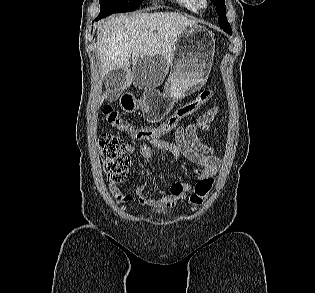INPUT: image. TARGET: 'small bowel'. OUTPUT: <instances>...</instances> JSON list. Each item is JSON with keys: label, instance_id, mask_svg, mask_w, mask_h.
<instances>
[{"label": "small bowel", "instance_id": "obj_1", "mask_svg": "<svg viewBox=\"0 0 315 293\" xmlns=\"http://www.w3.org/2000/svg\"><path fill=\"white\" fill-rule=\"evenodd\" d=\"M219 113L217 107L211 108L204 114L199 116L193 123L178 124L175 127V144L161 140L159 137L148 140L143 143L140 148V156L144 162L149 163L152 158V148H158L170 152L173 156L174 162H178L181 156H184L190 162L196 164L201 169L196 170L199 180L210 178L219 169L220 159L215 153L213 147L202 142L197 136V129L211 134V123ZM128 153L134 152V147L131 144L126 145ZM109 190L118 203H129L135 199L144 206H160L172 207L179 201L186 198L191 190V185L182 182L174 181L168 190H159V198H150L146 195V183H141L134 188L136 198L132 195L125 194L121 188L114 183H109Z\"/></svg>", "mask_w": 315, "mask_h": 293}]
</instances>
